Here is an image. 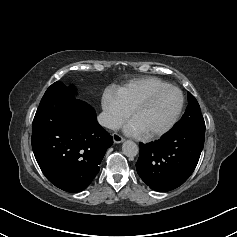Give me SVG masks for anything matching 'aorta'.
<instances>
[{"instance_id":"obj_1","label":"aorta","mask_w":237,"mask_h":237,"mask_svg":"<svg viewBox=\"0 0 237 237\" xmlns=\"http://www.w3.org/2000/svg\"><path fill=\"white\" fill-rule=\"evenodd\" d=\"M122 151L123 154L127 157H135L139 152V148L136 143L127 140L122 145Z\"/></svg>"}]
</instances>
